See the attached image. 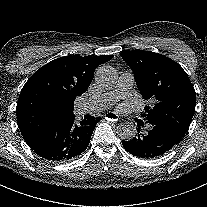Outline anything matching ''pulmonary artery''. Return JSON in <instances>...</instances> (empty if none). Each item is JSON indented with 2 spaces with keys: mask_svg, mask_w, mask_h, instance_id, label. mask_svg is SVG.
<instances>
[{
  "mask_svg": "<svg viewBox=\"0 0 207 207\" xmlns=\"http://www.w3.org/2000/svg\"><path fill=\"white\" fill-rule=\"evenodd\" d=\"M134 82L133 75L127 72L120 74L114 90L104 93L99 97L90 98L83 103L85 113H95L111 107L121 96L127 94Z\"/></svg>",
  "mask_w": 207,
  "mask_h": 207,
  "instance_id": "e3ab8cb5",
  "label": "pulmonary artery"
}]
</instances>
